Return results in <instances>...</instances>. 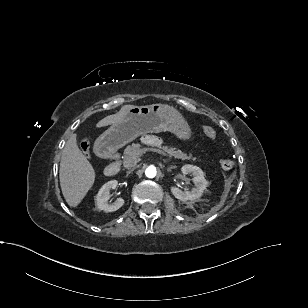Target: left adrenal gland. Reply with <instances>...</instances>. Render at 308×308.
<instances>
[{
  "mask_svg": "<svg viewBox=\"0 0 308 308\" xmlns=\"http://www.w3.org/2000/svg\"><path fill=\"white\" fill-rule=\"evenodd\" d=\"M174 167H170L167 169V172H171Z\"/></svg>",
  "mask_w": 308,
  "mask_h": 308,
  "instance_id": "a2214340",
  "label": "left adrenal gland"
}]
</instances>
